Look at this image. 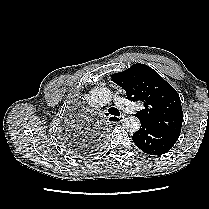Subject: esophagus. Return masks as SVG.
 <instances>
[{
    "mask_svg": "<svg viewBox=\"0 0 209 209\" xmlns=\"http://www.w3.org/2000/svg\"><path fill=\"white\" fill-rule=\"evenodd\" d=\"M125 119V115L117 116H109L108 120L110 123H120Z\"/></svg>",
    "mask_w": 209,
    "mask_h": 209,
    "instance_id": "obj_1",
    "label": "esophagus"
}]
</instances>
